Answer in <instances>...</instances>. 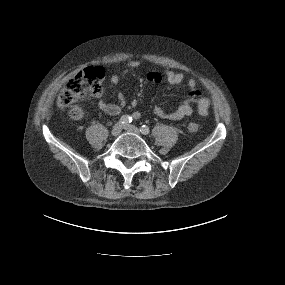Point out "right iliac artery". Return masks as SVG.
I'll return each mask as SVG.
<instances>
[{"label":"right iliac artery","instance_id":"right-iliac-artery-1","mask_svg":"<svg viewBox=\"0 0 285 285\" xmlns=\"http://www.w3.org/2000/svg\"><path fill=\"white\" fill-rule=\"evenodd\" d=\"M120 122H121L122 124L131 123V122H132V117H130L129 115H123V116L120 118Z\"/></svg>","mask_w":285,"mask_h":285}]
</instances>
